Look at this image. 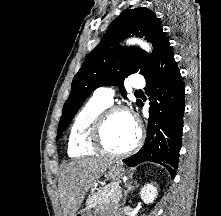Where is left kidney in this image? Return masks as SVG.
Returning <instances> with one entry per match:
<instances>
[{
    "mask_svg": "<svg viewBox=\"0 0 221 216\" xmlns=\"http://www.w3.org/2000/svg\"><path fill=\"white\" fill-rule=\"evenodd\" d=\"M157 188L153 184H145L140 191V197L146 204L153 203L157 197Z\"/></svg>",
    "mask_w": 221,
    "mask_h": 216,
    "instance_id": "5707ae66",
    "label": "left kidney"
}]
</instances>
